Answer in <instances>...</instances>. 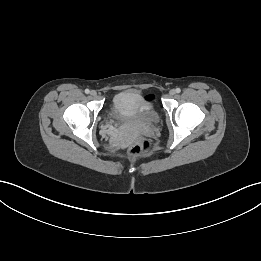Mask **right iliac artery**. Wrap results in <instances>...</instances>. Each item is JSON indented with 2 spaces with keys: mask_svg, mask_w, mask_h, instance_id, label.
Wrapping results in <instances>:
<instances>
[{
  "mask_svg": "<svg viewBox=\"0 0 261 261\" xmlns=\"http://www.w3.org/2000/svg\"><path fill=\"white\" fill-rule=\"evenodd\" d=\"M85 93H86V94H89V93H90V90H89V89H86V90H85Z\"/></svg>",
  "mask_w": 261,
  "mask_h": 261,
  "instance_id": "82829eb1",
  "label": "right iliac artery"
}]
</instances>
